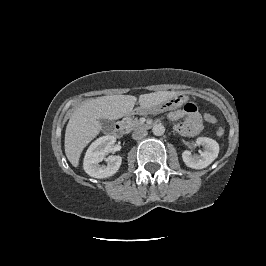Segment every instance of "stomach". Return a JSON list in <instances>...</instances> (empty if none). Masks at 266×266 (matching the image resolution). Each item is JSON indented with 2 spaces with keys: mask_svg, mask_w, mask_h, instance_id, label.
<instances>
[{
  "mask_svg": "<svg viewBox=\"0 0 266 266\" xmlns=\"http://www.w3.org/2000/svg\"><path fill=\"white\" fill-rule=\"evenodd\" d=\"M186 100V96L185 95H176L158 105L152 106L150 108H141V111L143 113H163L167 110L172 109V107L176 104H181Z\"/></svg>",
  "mask_w": 266,
  "mask_h": 266,
  "instance_id": "1",
  "label": "stomach"
}]
</instances>
